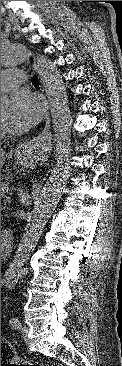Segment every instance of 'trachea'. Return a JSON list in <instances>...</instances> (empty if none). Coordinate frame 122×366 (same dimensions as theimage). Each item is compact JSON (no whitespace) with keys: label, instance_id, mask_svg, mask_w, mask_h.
Returning a JSON list of instances; mask_svg holds the SVG:
<instances>
[{"label":"trachea","instance_id":"obj_1","mask_svg":"<svg viewBox=\"0 0 122 366\" xmlns=\"http://www.w3.org/2000/svg\"><path fill=\"white\" fill-rule=\"evenodd\" d=\"M32 84H33L34 86H38V87H39V80H38V78H37L36 76H34V77H33V79H32Z\"/></svg>","mask_w":122,"mask_h":366}]
</instances>
